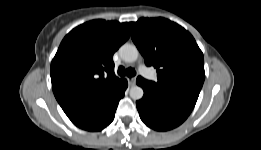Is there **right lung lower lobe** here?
<instances>
[{
    "mask_svg": "<svg viewBox=\"0 0 261 150\" xmlns=\"http://www.w3.org/2000/svg\"><path fill=\"white\" fill-rule=\"evenodd\" d=\"M126 88L127 82L119 94L73 123L79 128L88 131L102 130L113 121L119 100L124 96Z\"/></svg>",
    "mask_w": 261,
    "mask_h": 150,
    "instance_id": "98d812e1",
    "label": "right lung lower lobe"
}]
</instances>
